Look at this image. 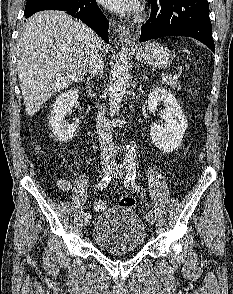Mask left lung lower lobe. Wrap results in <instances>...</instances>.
<instances>
[{
	"instance_id": "0a47b994",
	"label": "left lung lower lobe",
	"mask_w": 233,
	"mask_h": 294,
	"mask_svg": "<svg viewBox=\"0 0 233 294\" xmlns=\"http://www.w3.org/2000/svg\"><path fill=\"white\" fill-rule=\"evenodd\" d=\"M151 16L142 26L140 42L164 36L195 38L215 53L207 0H149Z\"/></svg>"
}]
</instances>
